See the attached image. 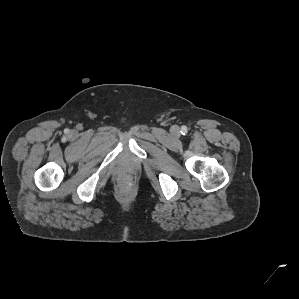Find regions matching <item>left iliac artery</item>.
I'll use <instances>...</instances> for the list:
<instances>
[{
    "instance_id": "left-iliac-artery-1",
    "label": "left iliac artery",
    "mask_w": 299,
    "mask_h": 299,
    "mask_svg": "<svg viewBox=\"0 0 299 299\" xmlns=\"http://www.w3.org/2000/svg\"><path fill=\"white\" fill-rule=\"evenodd\" d=\"M187 131H188L187 127H186V126H182V128H181V133H182L183 135H185V134L187 133Z\"/></svg>"
}]
</instances>
